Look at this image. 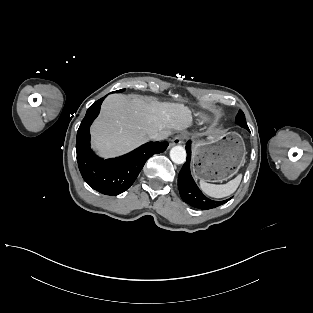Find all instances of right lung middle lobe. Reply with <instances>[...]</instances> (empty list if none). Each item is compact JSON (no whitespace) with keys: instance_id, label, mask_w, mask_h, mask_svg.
<instances>
[{"instance_id":"dd1d6c3e","label":"right lung middle lobe","mask_w":313,"mask_h":313,"mask_svg":"<svg viewBox=\"0 0 313 313\" xmlns=\"http://www.w3.org/2000/svg\"><path fill=\"white\" fill-rule=\"evenodd\" d=\"M125 89H121V90H118V91H115V92H117V93H119V92H123Z\"/></svg>"}]
</instances>
